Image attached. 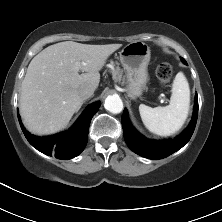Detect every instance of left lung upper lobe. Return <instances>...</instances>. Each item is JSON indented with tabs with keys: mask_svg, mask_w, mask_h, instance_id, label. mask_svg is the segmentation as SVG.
I'll list each match as a JSON object with an SVG mask.
<instances>
[{
	"mask_svg": "<svg viewBox=\"0 0 222 222\" xmlns=\"http://www.w3.org/2000/svg\"><path fill=\"white\" fill-rule=\"evenodd\" d=\"M181 59H182L183 63L187 64L186 61L183 58H181Z\"/></svg>",
	"mask_w": 222,
	"mask_h": 222,
	"instance_id": "left-lung-upper-lobe-1",
	"label": "left lung upper lobe"
}]
</instances>
